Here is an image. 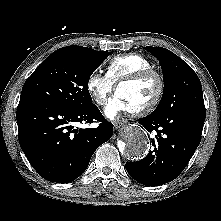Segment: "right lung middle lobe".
<instances>
[{
    "label": "right lung middle lobe",
    "mask_w": 221,
    "mask_h": 221,
    "mask_svg": "<svg viewBox=\"0 0 221 221\" xmlns=\"http://www.w3.org/2000/svg\"><path fill=\"white\" fill-rule=\"evenodd\" d=\"M110 52L88 54L60 48L49 55L26 80L20 100L39 101L68 108L91 106L88 82Z\"/></svg>",
    "instance_id": "dd1d6c3e"
}]
</instances>
